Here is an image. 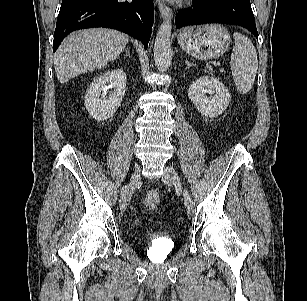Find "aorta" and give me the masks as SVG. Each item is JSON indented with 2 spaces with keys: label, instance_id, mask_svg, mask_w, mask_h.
Instances as JSON below:
<instances>
[{
  "label": "aorta",
  "instance_id": "aorta-1",
  "mask_svg": "<svg viewBox=\"0 0 307 301\" xmlns=\"http://www.w3.org/2000/svg\"><path fill=\"white\" fill-rule=\"evenodd\" d=\"M171 20L164 21L158 29L154 44V60L160 72H166L172 61Z\"/></svg>",
  "mask_w": 307,
  "mask_h": 301
}]
</instances>
